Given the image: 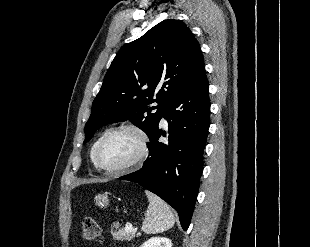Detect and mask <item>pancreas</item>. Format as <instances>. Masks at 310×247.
<instances>
[{
  "label": "pancreas",
  "mask_w": 310,
  "mask_h": 247,
  "mask_svg": "<svg viewBox=\"0 0 310 247\" xmlns=\"http://www.w3.org/2000/svg\"><path fill=\"white\" fill-rule=\"evenodd\" d=\"M113 238L117 241H130L136 236L134 231H127L125 228H120L118 230H111Z\"/></svg>",
  "instance_id": "1"
}]
</instances>
